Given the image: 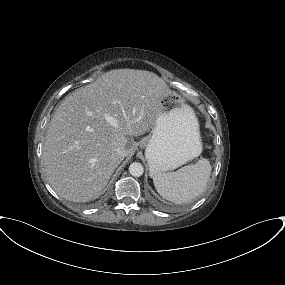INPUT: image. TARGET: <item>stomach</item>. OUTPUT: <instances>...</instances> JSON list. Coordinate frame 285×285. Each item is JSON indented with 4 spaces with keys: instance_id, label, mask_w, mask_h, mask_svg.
<instances>
[{
    "instance_id": "stomach-1",
    "label": "stomach",
    "mask_w": 285,
    "mask_h": 285,
    "mask_svg": "<svg viewBox=\"0 0 285 285\" xmlns=\"http://www.w3.org/2000/svg\"><path fill=\"white\" fill-rule=\"evenodd\" d=\"M162 114L151 134L141 142L150 176L172 171L202 152L199 124L191 107L174 91L159 98Z\"/></svg>"
}]
</instances>
